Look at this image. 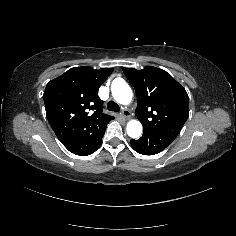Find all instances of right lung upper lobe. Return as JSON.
Here are the masks:
<instances>
[{
    "label": "right lung upper lobe",
    "instance_id": "right-lung-upper-lobe-1",
    "mask_svg": "<svg viewBox=\"0 0 236 236\" xmlns=\"http://www.w3.org/2000/svg\"><path fill=\"white\" fill-rule=\"evenodd\" d=\"M112 71L75 67L47 84L43 95L47 119L65 147L114 119L103 113V101L96 94Z\"/></svg>",
    "mask_w": 236,
    "mask_h": 236
}]
</instances>
